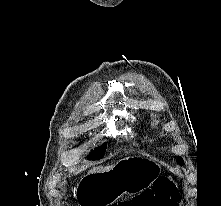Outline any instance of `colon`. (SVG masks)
Masks as SVG:
<instances>
[{"label":"colon","instance_id":"colon-1","mask_svg":"<svg viewBox=\"0 0 221 206\" xmlns=\"http://www.w3.org/2000/svg\"><path fill=\"white\" fill-rule=\"evenodd\" d=\"M179 195L167 178L156 180L152 188L130 200L119 201L113 206H178Z\"/></svg>","mask_w":221,"mask_h":206}]
</instances>
